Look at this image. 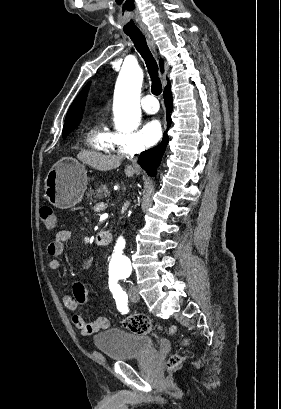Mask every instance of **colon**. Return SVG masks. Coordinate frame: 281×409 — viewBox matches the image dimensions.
<instances>
[{"label":"colon","mask_w":281,"mask_h":409,"mask_svg":"<svg viewBox=\"0 0 281 409\" xmlns=\"http://www.w3.org/2000/svg\"><path fill=\"white\" fill-rule=\"evenodd\" d=\"M41 219L44 228L48 231H55L58 229V220L54 209L51 206H41ZM123 326L134 333L146 334L151 332H164L166 334H174L177 330L176 325L161 326L155 324L148 316L141 312L129 315L122 321ZM182 344L187 345V340L182 339ZM180 363L179 357H173L170 360L172 368L178 366Z\"/></svg>","instance_id":"1"}]
</instances>
